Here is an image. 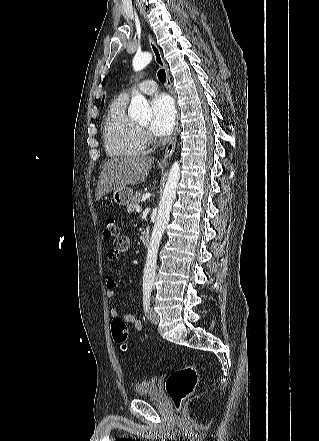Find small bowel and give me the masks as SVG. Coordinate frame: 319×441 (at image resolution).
Listing matches in <instances>:
<instances>
[{"label":"small bowel","mask_w":319,"mask_h":441,"mask_svg":"<svg viewBox=\"0 0 319 441\" xmlns=\"http://www.w3.org/2000/svg\"><path fill=\"white\" fill-rule=\"evenodd\" d=\"M130 246V241L127 237H120L115 243H114V247L111 248L108 252H107V259L110 262H115L119 259L120 255L122 252L126 251ZM105 284H106V295L108 298H113L115 296V287L117 286V283L115 281V279L111 276H107L105 279ZM119 312L115 307H112L110 309V316L114 319L116 317H118ZM123 320L126 323L131 324L134 329L138 332L142 331V323L139 319H137L134 315L132 314H125L123 316Z\"/></svg>","instance_id":"small-bowel-1"}]
</instances>
